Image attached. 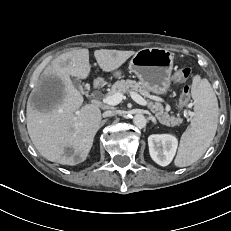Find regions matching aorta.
<instances>
[{
	"label": "aorta",
	"mask_w": 231,
	"mask_h": 231,
	"mask_svg": "<svg viewBox=\"0 0 231 231\" xmlns=\"http://www.w3.org/2000/svg\"><path fill=\"white\" fill-rule=\"evenodd\" d=\"M133 123L138 128H143L146 126L147 120L144 115L142 114H136L133 117Z\"/></svg>",
	"instance_id": "aorta-1"
}]
</instances>
